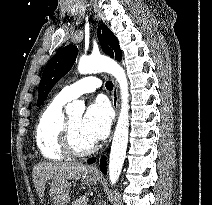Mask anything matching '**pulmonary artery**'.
Segmentation results:
<instances>
[{"label":"pulmonary artery","mask_w":212,"mask_h":205,"mask_svg":"<svg viewBox=\"0 0 212 205\" xmlns=\"http://www.w3.org/2000/svg\"><path fill=\"white\" fill-rule=\"evenodd\" d=\"M100 85V81L96 76H88L71 85L65 86L57 96L64 101H71L85 93L96 91Z\"/></svg>","instance_id":"1"}]
</instances>
